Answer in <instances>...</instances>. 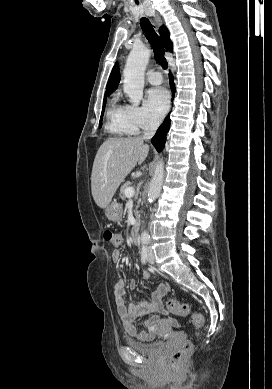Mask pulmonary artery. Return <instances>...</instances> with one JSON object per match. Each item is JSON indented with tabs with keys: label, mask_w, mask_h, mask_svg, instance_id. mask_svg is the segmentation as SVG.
<instances>
[{
	"label": "pulmonary artery",
	"mask_w": 272,
	"mask_h": 389,
	"mask_svg": "<svg viewBox=\"0 0 272 389\" xmlns=\"http://www.w3.org/2000/svg\"><path fill=\"white\" fill-rule=\"evenodd\" d=\"M147 81L152 85H158L162 83V75L160 72L153 71L147 76Z\"/></svg>",
	"instance_id": "pulmonary-artery-1"
}]
</instances>
